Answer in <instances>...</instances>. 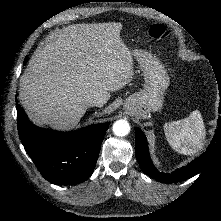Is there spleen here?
Masks as SVG:
<instances>
[{"mask_svg": "<svg viewBox=\"0 0 221 221\" xmlns=\"http://www.w3.org/2000/svg\"><path fill=\"white\" fill-rule=\"evenodd\" d=\"M168 143L178 153L194 155L203 146L206 131L200 111H193L187 118L164 125Z\"/></svg>", "mask_w": 221, "mask_h": 221, "instance_id": "1", "label": "spleen"}]
</instances>
